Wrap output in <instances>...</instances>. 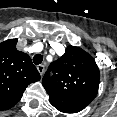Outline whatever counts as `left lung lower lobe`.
<instances>
[{"label": "left lung lower lobe", "instance_id": "1", "mask_svg": "<svg viewBox=\"0 0 117 117\" xmlns=\"http://www.w3.org/2000/svg\"><path fill=\"white\" fill-rule=\"evenodd\" d=\"M56 109H58L59 111L63 112V113H74L71 110L65 108V107H55Z\"/></svg>", "mask_w": 117, "mask_h": 117}]
</instances>
